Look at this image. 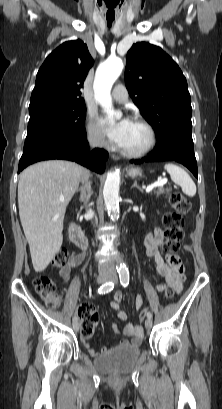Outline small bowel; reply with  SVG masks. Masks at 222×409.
Instances as JSON below:
<instances>
[{"instance_id":"c3829d8e","label":"small bowel","mask_w":222,"mask_h":409,"mask_svg":"<svg viewBox=\"0 0 222 409\" xmlns=\"http://www.w3.org/2000/svg\"><path fill=\"white\" fill-rule=\"evenodd\" d=\"M164 233L161 229L155 228L145 238V253L148 257L153 258L157 272L164 278L165 284H159L156 287L158 292H163L166 287L174 290L176 294L182 290V283L184 276V259L183 256H168L167 262L161 255L159 247L163 244ZM84 259L83 254L74 253L68 259L66 265L61 268L60 276L64 281L70 279L71 269L79 265ZM143 297L138 295L135 299V306L137 310H140L143 306ZM111 307L115 310L117 317L126 322L122 330L118 325H112V331L114 334L122 333L124 336L130 339L120 340L118 346H126L129 344H140L143 338V329L141 326L134 325L129 322V315L123 309V295L121 292H115L110 302ZM88 352L91 356L95 357L99 354L95 349L87 346ZM109 351L107 347H102L100 350L101 355L106 354Z\"/></svg>"}]
</instances>
